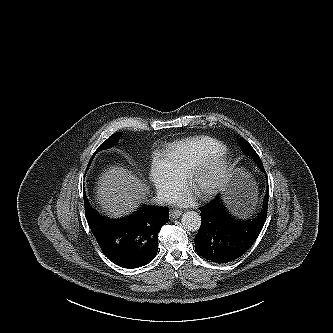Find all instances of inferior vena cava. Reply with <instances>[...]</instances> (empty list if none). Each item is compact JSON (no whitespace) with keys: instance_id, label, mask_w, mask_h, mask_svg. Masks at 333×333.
Returning a JSON list of instances; mask_svg holds the SVG:
<instances>
[{"instance_id":"602c4592","label":"inferior vena cava","mask_w":333,"mask_h":333,"mask_svg":"<svg viewBox=\"0 0 333 333\" xmlns=\"http://www.w3.org/2000/svg\"><path fill=\"white\" fill-rule=\"evenodd\" d=\"M173 195L167 191H159L156 196V201L159 203H167L173 200Z\"/></svg>"}]
</instances>
